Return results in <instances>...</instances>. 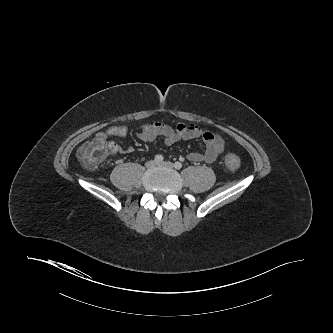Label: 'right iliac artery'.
Segmentation results:
<instances>
[{"label": "right iliac artery", "instance_id": "obj_1", "mask_svg": "<svg viewBox=\"0 0 333 333\" xmlns=\"http://www.w3.org/2000/svg\"><path fill=\"white\" fill-rule=\"evenodd\" d=\"M163 160H164V157L162 156V155H156L155 157H154V161L156 162V163H162L163 162Z\"/></svg>", "mask_w": 333, "mask_h": 333}]
</instances>
